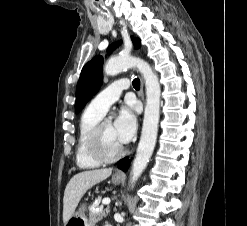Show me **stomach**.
<instances>
[{
	"mask_svg": "<svg viewBox=\"0 0 247 226\" xmlns=\"http://www.w3.org/2000/svg\"><path fill=\"white\" fill-rule=\"evenodd\" d=\"M121 182V178L112 177V183L115 185L119 184ZM85 209L86 206L83 204L77 212H75L71 218L67 221L65 226H91L92 223L88 221L86 215H85Z\"/></svg>",
	"mask_w": 247,
	"mask_h": 226,
	"instance_id": "obj_1",
	"label": "stomach"
}]
</instances>
